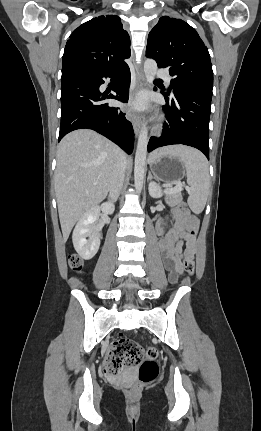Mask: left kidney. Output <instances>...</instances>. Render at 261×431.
I'll use <instances>...</instances> for the list:
<instances>
[{"mask_svg":"<svg viewBox=\"0 0 261 431\" xmlns=\"http://www.w3.org/2000/svg\"><path fill=\"white\" fill-rule=\"evenodd\" d=\"M149 194L153 198H159V197H161L162 196V191H161L160 186L157 183H155V182H151L149 184Z\"/></svg>","mask_w":261,"mask_h":431,"instance_id":"1","label":"left kidney"}]
</instances>
